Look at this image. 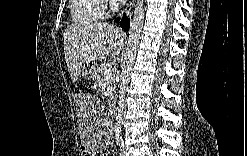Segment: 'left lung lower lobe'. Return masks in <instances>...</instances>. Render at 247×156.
Instances as JSON below:
<instances>
[{"label":"left lung lower lobe","instance_id":"left-lung-lower-lobe-1","mask_svg":"<svg viewBox=\"0 0 247 156\" xmlns=\"http://www.w3.org/2000/svg\"><path fill=\"white\" fill-rule=\"evenodd\" d=\"M119 21V18L115 20V22H118Z\"/></svg>","mask_w":247,"mask_h":156}]
</instances>
